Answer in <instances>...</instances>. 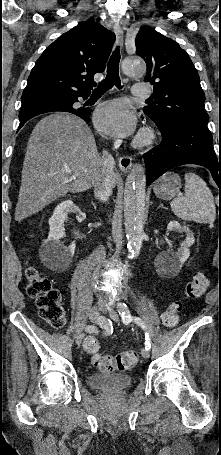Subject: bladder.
Listing matches in <instances>:
<instances>
[{"label": "bladder", "instance_id": "bladder-1", "mask_svg": "<svg viewBox=\"0 0 221 455\" xmlns=\"http://www.w3.org/2000/svg\"><path fill=\"white\" fill-rule=\"evenodd\" d=\"M131 383V376L124 373H94L88 378L90 388L102 391H122L129 388Z\"/></svg>", "mask_w": 221, "mask_h": 455}]
</instances>
